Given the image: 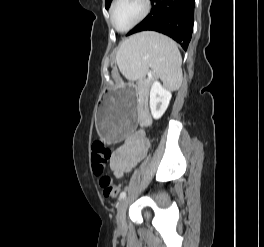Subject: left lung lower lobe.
Masks as SVG:
<instances>
[{
  "label": "left lung lower lobe",
  "instance_id": "obj_1",
  "mask_svg": "<svg viewBox=\"0 0 264 247\" xmlns=\"http://www.w3.org/2000/svg\"><path fill=\"white\" fill-rule=\"evenodd\" d=\"M150 14L127 36L152 30L177 41L187 50L193 31L194 0H151Z\"/></svg>",
  "mask_w": 264,
  "mask_h": 247
}]
</instances>
